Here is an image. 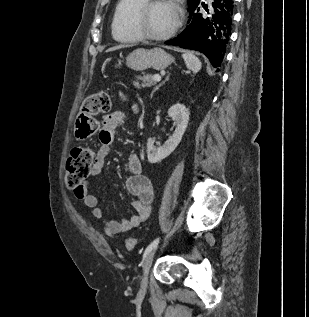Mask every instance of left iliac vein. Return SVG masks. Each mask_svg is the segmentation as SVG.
I'll return each mask as SVG.
<instances>
[{
  "label": "left iliac vein",
  "instance_id": "left-iliac-vein-1",
  "mask_svg": "<svg viewBox=\"0 0 309 317\" xmlns=\"http://www.w3.org/2000/svg\"><path fill=\"white\" fill-rule=\"evenodd\" d=\"M157 250V246L154 247L146 256V258L144 259L143 262V275H142V281H141V288L143 291L146 290L147 285H148V274H149V270L154 258V255L156 253Z\"/></svg>",
  "mask_w": 309,
  "mask_h": 317
}]
</instances>
